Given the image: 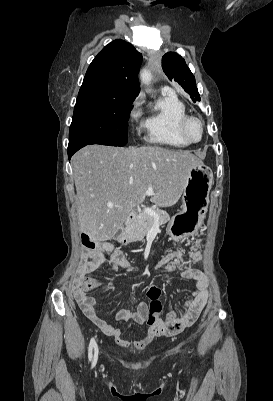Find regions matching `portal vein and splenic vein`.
I'll use <instances>...</instances> for the list:
<instances>
[{"label": "portal vein and splenic vein", "mask_w": 273, "mask_h": 401, "mask_svg": "<svg viewBox=\"0 0 273 401\" xmlns=\"http://www.w3.org/2000/svg\"><path fill=\"white\" fill-rule=\"evenodd\" d=\"M145 194H148V196H150V194H155L152 186H148V190H146ZM144 213H147V215H151V217H154L155 221H158L159 217L158 215H156L155 211H153V209H149V207H145V209H143Z\"/></svg>", "instance_id": "portal-vein-and-splenic-vein-1"}]
</instances>
